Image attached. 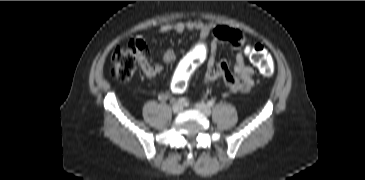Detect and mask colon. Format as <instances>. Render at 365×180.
Here are the masks:
<instances>
[{"label":"colon","mask_w":365,"mask_h":180,"mask_svg":"<svg viewBox=\"0 0 365 180\" xmlns=\"http://www.w3.org/2000/svg\"><path fill=\"white\" fill-rule=\"evenodd\" d=\"M245 52L250 61L265 77L274 73V63L270 52L262 45L256 44L246 47ZM111 75L115 80L129 81L140 67L147 63V49L140 40L130 41L126 46L117 48L111 55ZM186 88V78L182 77L173 84L176 92H183Z\"/></svg>","instance_id":"colon-1"}]
</instances>
